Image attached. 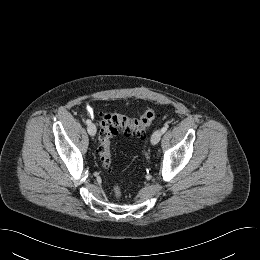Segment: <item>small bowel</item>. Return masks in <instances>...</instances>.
<instances>
[{"instance_id":"c3829d8e","label":"small bowel","mask_w":260,"mask_h":260,"mask_svg":"<svg viewBox=\"0 0 260 260\" xmlns=\"http://www.w3.org/2000/svg\"><path fill=\"white\" fill-rule=\"evenodd\" d=\"M86 110H87V112H88L90 115H93V114H94V110H93V108H92L91 106H87V107H86Z\"/></svg>"}]
</instances>
